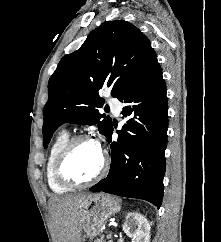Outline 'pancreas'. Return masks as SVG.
I'll list each match as a JSON object with an SVG mask.
<instances>
[{"label":"pancreas","mask_w":221,"mask_h":242,"mask_svg":"<svg viewBox=\"0 0 221 242\" xmlns=\"http://www.w3.org/2000/svg\"><path fill=\"white\" fill-rule=\"evenodd\" d=\"M94 242H105V241L103 240V237H101V238H97ZM108 242H112V241H108Z\"/></svg>","instance_id":"obj_1"}]
</instances>
